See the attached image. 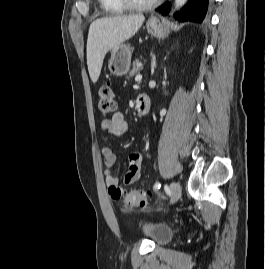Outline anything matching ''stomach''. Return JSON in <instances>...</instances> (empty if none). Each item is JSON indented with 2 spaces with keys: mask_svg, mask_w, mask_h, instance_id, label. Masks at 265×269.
Wrapping results in <instances>:
<instances>
[{
  "mask_svg": "<svg viewBox=\"0 0 265 269\" xmlns=\"http://www.w3.org/2000/svg\"><path fill=\"white\" fill-rule=\"evenodd\" d=\"M146 27L148 32L158 38H163L166 35L167 23L157 17H151ZM132 51L126 44H120L118 47L111 50V57L108 68L111 74L115 76L125 75L130 68Z\"/></svg>",
  "mask_w": 265,
  "mask_h": 269,
  "instance_id": "stomach-1",
  "label": "stomach"
}]
</instances>
